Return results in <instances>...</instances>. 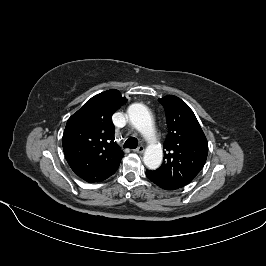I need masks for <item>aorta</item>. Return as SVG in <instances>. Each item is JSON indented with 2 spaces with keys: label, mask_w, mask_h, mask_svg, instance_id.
<instances>
[{
  "label": "aorta",
  "mask_w": 266,
  "mask_h": 266,
  "mask_svg": "<svg viewBox=\"0 0 266 266\" xmlns=\"http://www.w3.org/2000/svg\"><path fill=\"white\" fill-rule=\"evenodd\" d=\"M128 116L131 124L144 136L148 141L143 161L149 169H157L162 162L163 152L160 144H157L154 138V124L148 109L139 103L129 106Z\"/></svg>",
  "instance_id": "762f6f07"
}]
</instances>
